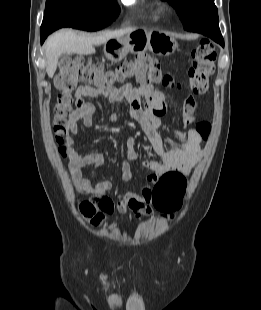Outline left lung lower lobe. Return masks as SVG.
<instances>
[{"label": "left lung lower lobe", "mask_w": 261, "mask_h": 310, "mask_svg": "<svg viewBox=\"0 0 261 310\" xmlns=\"http://www.w3.org/2000/svg\"><path fill=\"white\" fill-rule=\"evenodd\" d=\"M188 31L198 32L203 35H206L216 41L217 43L224 46V40L221 35L219 25L216 22L210 21V20H204L203 22L196 23L188 27Z\"/></svg>", "instance_id": "1"}]
</instances>
